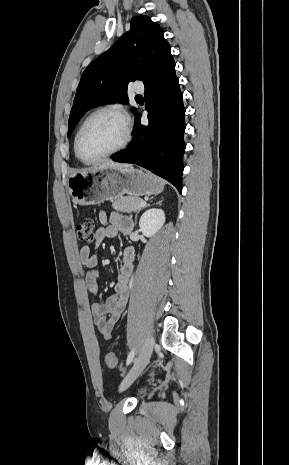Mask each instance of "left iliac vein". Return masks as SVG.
I'll use <instances>...</instances> for the list:
<instances>
[{"instance_id":"1","label":"left iliac vein","mask_w":289,"mask_h":465,"mask_svg":"<svg viewBox=\"0 0 289 465\" xmlns=\"http://www.w3.org/2000/svg\"><path fill=\"white\" fill-rule=\"evenodd\" d=\"M153 347H154V338L152 336H148L133 366L131 367L129 372L124 377L120 385V391L127 389L136 380V378L142 373V371L144 370V368L149 362V359L153 351Z\"/></svg>"}]
</instances>
